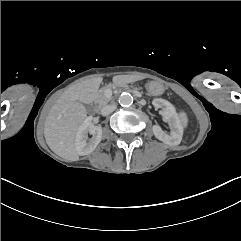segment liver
<instances>
[{
    "label": "liver",
    "instance_id": "liver-1",
    "mask_svg": "<svg viewBox=\"0 0 241 241\" xmlns=\"http://www.w3.org/2000/svg\"><path fill=\"white\" fill-rule=\"evenodd\" d=\"M116 76L113 77L115 82ZM102 77L81 80L66 90L51 107L45 120V140L58 156L78 161L75 147L76 132L87 118L83 103H92L97 98Z\"/></svg>",
    "mask_w": 241,
    "mask_h": 241
}]
</instances>
